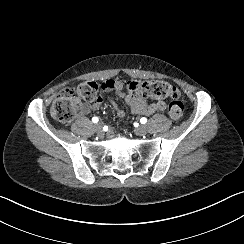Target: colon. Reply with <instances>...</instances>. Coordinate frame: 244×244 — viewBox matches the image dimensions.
<instances>
[{
    "label": "colon",
    "mask_w": 244,
    "mask_h": 244,
    "mask_svg": "<svg viewBox=\"0 0 244 244\" xmlns=\"http://www.w3.org/2000/svg\"><path fill=\"white\" fill-rule=\"evenodd\" d=\"M104 88L102 84L95 81H87L78 84L75 87L62 89L57 95L50 112L59 122L70 121L77 106L82 102L98 103L101 91ZM128 93L133 99L145 98H169L173 101L168 107V115L172 120H180L183 116L184 107L180 101L179 90L170 83L163 80L136 81L128 84Z\"/></svg>",
    "instance_id": "1"
}]
</instances>
